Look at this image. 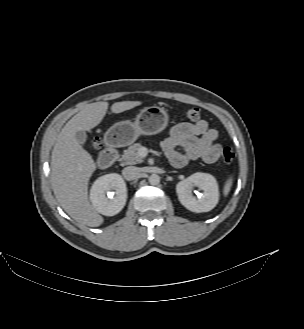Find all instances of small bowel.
<instances>
[{"mask_svg":"<svg viewBox=\"0 0 304 329\" xmlns=\"http://www.w3.org/2000/svg\"><path fill=\"white\" fill-rule=\"evenodd\" d=\"M217 138V130L210 128L205 120L181 122L170 129L169 137L163 142L162 148L171 165L176 168L184 167L189 161L197 159L214 163L222 153L221 145L215 142Z\"/></svg>","mask_w":304,"mask_h":329,"instance_id":"small-bowel-1","label":"small bowel"}]
</instances>
